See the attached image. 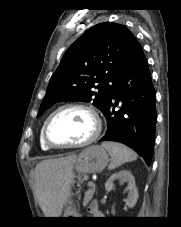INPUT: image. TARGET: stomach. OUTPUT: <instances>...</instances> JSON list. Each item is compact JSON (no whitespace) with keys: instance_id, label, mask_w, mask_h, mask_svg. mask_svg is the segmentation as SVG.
Here are the masks:
<instances>
[{"instance_id":"0dacf381","label":"stomach","mask_w":181,"mask_h":227,"mask_svg":"<svg viewBox=\"0 0 181 227\" xmlns=\"http://www.w3.org/2000/svg\"><path fill=\"white\" fill-rule=\"evenodd\" d=\"M109 162V154L106 149L99 145L85 148L77 156L74 169L78 174L94 173L103 170ZM73 207V200L69 199L63 217H78Z\"/></svg>"}]
</instances>
